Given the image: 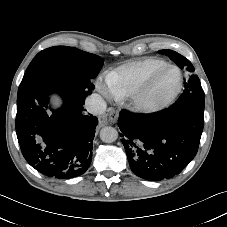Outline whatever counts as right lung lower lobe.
Wrapping results in <instances>:
<instances>
[{"label":"right lung lower lobe","mask_w":227,"mask_h":227,"mask_svg":"<svg viewBox=\"0 0 227 227\" xmlns=\"http://www.w3.org/2000/svg\"><path fill=\"white\" fill-rule=\"evenodd\" d=\"M93 88L68 83L38 85L17 97L16 133L26 161L42 174L59 179L85 173L92 160L98 119L85 114ZM59 93L63 106L47 112L48 96Z\"/></svg>","instance_id":"right-lung-lower-lobe-1"}]
</instances>
